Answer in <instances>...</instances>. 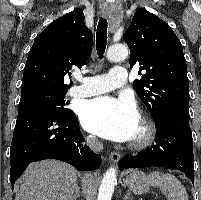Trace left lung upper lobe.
I'll return each mask as SVG.
<instances>
[{"mask_svg": "<svg viewBox=\"0 0 201 200\" xmlns=\"http://www.w3.org/2000/svg\"><path fill=\"white\" fill-rule=\"evenodd\" d=\"M130 48V68L140 65V80L133 82L153 119L169 107H189L187 65L176 34L156 15L138 10L123 34Z\"/></svg>", "mask_w": 201, "mask_h": 200, "instance_id": "5c2ea615", "label": "left lung upper lobe"}]
</instances>
